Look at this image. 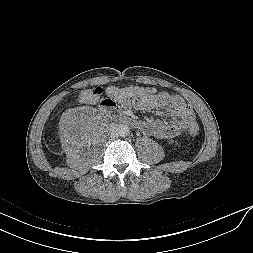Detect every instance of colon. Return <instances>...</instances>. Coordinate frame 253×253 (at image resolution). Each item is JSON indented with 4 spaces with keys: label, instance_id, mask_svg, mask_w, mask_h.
<instances>
[{
    "label": "colon",
    "instance_id": "1",
    "mask_svg": "<svg viewBox=\"0 0 253 253\" xmlns=\"http://www.w3.org/2000/svg\"><path fill=\"white\" fill-rule=\"evenodd\" d=\"M152 88H144L139 86H129L123 89L116 87H108L105 90L107 97L117 99L118 101L126 102L131 101L134 98L140 97L144 93L152 92ZM103 88L94 87L81 92V99L87 102H96L103 95ZM187 130L191 135H196L199 131V125L195 119L190 120L187 125Z\"/></svg>",
    "mask_w": 253,
    "mask_h": 253
}]
</instances>
